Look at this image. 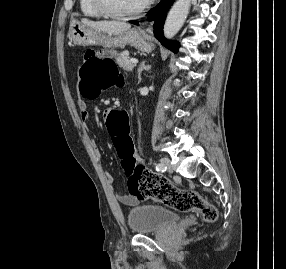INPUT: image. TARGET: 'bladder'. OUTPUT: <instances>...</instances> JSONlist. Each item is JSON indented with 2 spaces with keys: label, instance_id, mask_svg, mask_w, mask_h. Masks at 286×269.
<instances>
[{
  "label": "bladder",
  "instance_id": "bladder-1",
  "mask_svg": "<svg viewBox=\"0 0 286 269\" xmlns=\"http://www.w3.org/2000/svg\"><path fill=\"white\" fill-rule=\"evenodd\" d=\"M130 230L139 235L167 229L178 222L179 215L157 205H140L127 215Z\"/></svg>",
  "mask_w": 286,
  "mask_h": 269
}]
</instances>
